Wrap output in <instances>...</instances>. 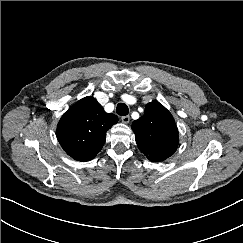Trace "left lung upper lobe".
<instances>
[{"label":"left lung upper lobe","instance_id":"obj_1","mask_svg":"<svg viewBox=\"0 0 243 243\" xmlns=\"http://www.w3.org/2000/svg\"><path fill=\"white\" fill-rule=\"evenodd\" d=\"M140 151L153 162L167 159L178 147V129L170 112L159 102L145 107V114L132 124Z\"/></svg>","mask_w":243,"mask_h":243}]
</instances>
